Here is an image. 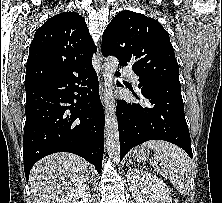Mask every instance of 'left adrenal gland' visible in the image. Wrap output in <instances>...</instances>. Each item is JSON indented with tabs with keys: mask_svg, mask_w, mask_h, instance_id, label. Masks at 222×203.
I'll return each instance as SVG.
<instances>
[{
	"mask_svg": "<svg viewBox=\"0 0 222 203\" xmlns=\"http://www.w3.org/2000/svg\"><path fill=\"white\" fill-rule=\"evenodd\" d=\"M133 164L132 160L129 159L128 165Z\"/></svg>",
	"mask_w": 222,
	"mask_h": 203,
	"instance_id": "1",
	"label": "left adrenal gland"
}]
</instances>
